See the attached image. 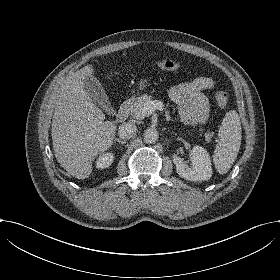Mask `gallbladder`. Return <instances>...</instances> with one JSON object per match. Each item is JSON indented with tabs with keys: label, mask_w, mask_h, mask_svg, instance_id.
<instances>
[{
	"label": "gallbladder",
	"mask_w": 280,
	"mask_h": 280,
	"mask_svg": "<svg viewBox=\"0 0 280 280\" xmlns=\"http://www.w3.org/2000/svg\"><path fill=\"white\" fill-rule=\"evenodd\" d=\"M84 89L92 101L101 105V107L109 113L114 114V110L110 107V104L107 101L104 89L96 78L86 76L84 79Z\"/></svg>",
	"instance_id": "obj_1"
}]
</instances>
